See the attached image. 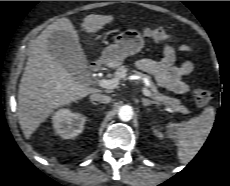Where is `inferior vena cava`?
Returning a JSON list of instances; mask_svg holds the SVG:
<instances>
[{"label": "inferior vena cava", "mask_w": 230, "mask_h": 186, "mask_svg": "<svg viewBox=\"0 0 230 186\" xmlns=\"http://www.w3.org/2000/svg\"><path fill=\"white\" fill-rule=\"evenodd\" d=\"M90 99L91 101H98L100 103H109L111 101V97L108 96V95H104V94H101V93H92L90 95Z\"/></svg>", "instance_id": "obj_1"}]
</instances>
